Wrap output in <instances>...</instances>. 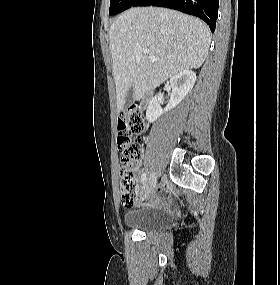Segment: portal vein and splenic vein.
<instances>
[{"instance_id": "18ae733b", "label": "portal vein and splenic vein", "mask_w": 280, "mask_h": 285, "mask_svg": "<svg viewBox=\"0 0 280 285\" xmlns=\"http://www.w3.org/2000/svg\"><path fill=\"white\" fill-rule=\"evenodd\" d=\"M144 53L145 54H149V50L148 49H144ZM149 58L151 61H156L157 58L154 55H149Z\"/></svg>"}]
</instances>
